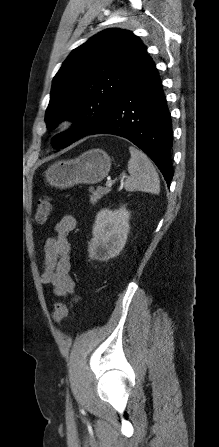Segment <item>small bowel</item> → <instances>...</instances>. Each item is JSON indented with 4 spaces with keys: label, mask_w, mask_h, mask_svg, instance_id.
<instances>
[{
    "label": "small bowel",
    "mask_w": 219,
    "mask_h": 447,
    "mask_svg": "<svg viewBox=\"0 0 219 447\" xmlns=\"http://www.w3.org/2000/svg\"><path fill=\"white\" fill-rule=\"evenodd\" d=\"M76 227V219L72 214H64L55 224V236L50 238L44 247L43 271L41 281L50 285L54 293L60 297L73 295L75 282L70 275L71 243L70 233Z\"/></svg>",
    "instance_id": "obj_1"
}]
</instances>
